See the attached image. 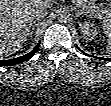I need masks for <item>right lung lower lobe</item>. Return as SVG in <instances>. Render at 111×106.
<instances>
[{
	"instance_id": "right-lung-lower-lobe-1",
	"label": "right lung lower lobe",
	"mask_w": 111,
	"mask_h": 106,
	"mask_svg": "<svg viewBox=\"0 0 111 106\" xmlns=\"http://www.w3.org/2000/svg\"><path fill=\"white\" fill-rule=\"evenodd\" d=\"M40 43L37 44V46L28 54H25L21 57L18 58H14V59H9V60H0V66H11V65H15L21 62H24L28 59H30L31 57H33V55L36 53V51L39 48Z\"/></svg>"
}]
</instances>
